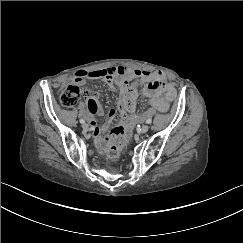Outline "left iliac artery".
<instances>
[{"label": "left iliac artery", "mask_w": 243, "mask_h": 243, "mask_svg": "<svg viewBox=\"0 0 243 243\" xmlns=\"http://www.w3.org/2000/svg\"><path fill=\"white\" fill-rule=\"evenodd\" d=\"M151 122H152V119H150V118L146 120L147 124H151Z\"/></svg>", "instance_id": "1"}]
</instances>
